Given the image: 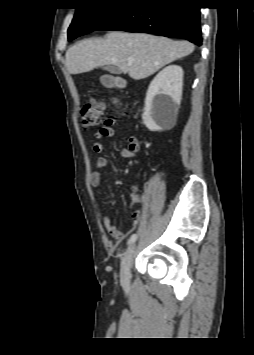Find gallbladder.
<instances>
[{
  "instance_id": "bac80fb5",
  "label": "gallbladder",
  "mask_w": 254,
  "mask_h": 355,
  "mask_svg": "<svg viewBox=\"0 0 254 355\" xmlns=\"http://www.w3.org/2000/svg\"><path fill=\"white\" fill-rule=\"evenodd\" d=\"M105 70L109 71L110 73H119L120 69L117 67H111V66H107V67H103Z\"/></svg>"
}]
</instances>
